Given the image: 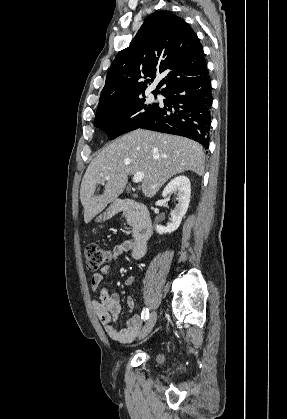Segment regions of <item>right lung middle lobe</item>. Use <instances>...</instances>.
<instances>
[{"label":"right lung middle lobe","instance_id":"dd1d6c3e","mask_svg":"<svg viewBox=\"0 0 287 419\" xmlns=\"http://www.w3.org/2000/svg\"><path fill=\"white\" fill-rule=\"evenodd\" d=\"M158 106V103L148 104L142 97L126 100L97 110L94 125L108 132L112 140L139 128Z\"/></svg>","mask_w":287,"mask_h":419}]
</instances>
